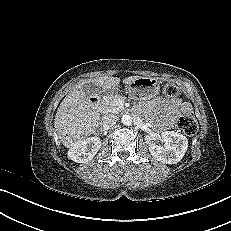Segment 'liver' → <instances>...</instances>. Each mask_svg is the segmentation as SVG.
<instances>
[{
	"mask_svg": "<svg viewBox=\"0 0 231 231\" xmlns=\"http://www.w3.org/2000/svg\"><path fill=\"white\" fill-rule=\"evenodd\" d=\"M139 77H126L123 83L128 85ZM89 82L95 83L100 89L109 90L119 85L120 78L104 76L83 81L63 99L55 115L54 127L61 143L67 148L86 139L98 126L99 114L92 111V104L82 90L83 85Z\"/></svg>",
	"mask_w": 231,
	"mask_h": 231,
	"instance_id": "liver-1",
	"label": "liver"
}]
</instances>
